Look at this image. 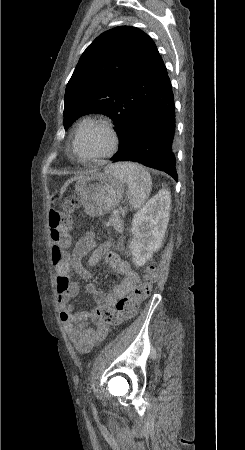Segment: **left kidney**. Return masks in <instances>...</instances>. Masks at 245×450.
Masks as SVG:
<instances>
[{"label": "left kidney", "instance_id": "left-kidney-1", "mask_svg": "<svg viewBox=\"0 0 245 450\" xmlns=\"http://www.w3.org/2000/svg\"><path fill=\"white\" fill-rule=\"evenodd\" d=\"M170 204V192L162 189L134 215L129 248L136 266H144L159 250L169 222Z\"/></svg>", "mask_w": 245, "mask_h": 450}]
</instances>
